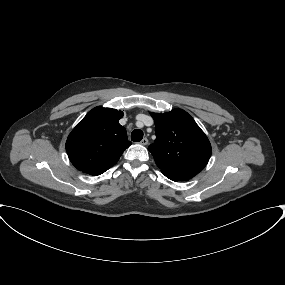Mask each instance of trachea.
Here are the masks:
<instances>
[{
    "label": "trachea",
    "mask_w": 285,
    "mask_h": 285,
    "mask_svg": "<svg viewBox=\"0 0 285 285\" xmlns=\"http://www.w3.org/2000/svg\"><path fill=\"white\" fill-rule=\"evenodd\" d=\"M143 138V131L140 129H135L131 133V140L134 142H139Z\"/></svg>",
    "instance_id": "trachea-1"
}]
</instances>
